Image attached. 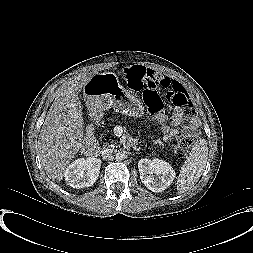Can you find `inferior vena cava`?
Returning <instances> with one entry per match:
<instances>
[{
	"label": "inferior vena cava",
	"instance_id": "1",
	"mask_svg": "<svg viewBox=\"0 0 253 253\" xmlns=\"http://www.w3.org/2000/svg\"><path fill=\"white\" fill-rule=\"evenodd\" d=\"M112 151H113L112 149H106V150L103 151V154L106 157H110L111 154H112Z\"/></svg>",
	"mask_w": 253,
	"mask_h": 253
}]
</instances>
